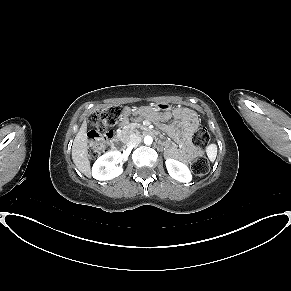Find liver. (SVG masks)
<instances>
[{
  "mask_svg": "<svg viewBox=\"0 0 291 291\" xmlns=\"http://www.w3.org/2000/svg\"><path fill=\"white\" fill-rule=\"evenodd\" d=\"M86 131L87 123L83 122L73 142L72 160L81 173L87 177H90L91 167L88 158V139Z\"/></svg>",
  "mask_w": 291,
  "mask_h": 291,
  "instance_id": "6515ba94",
  "label": "liver"
}]
</instances>
